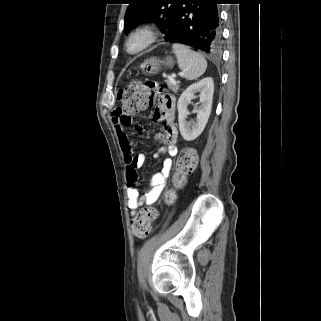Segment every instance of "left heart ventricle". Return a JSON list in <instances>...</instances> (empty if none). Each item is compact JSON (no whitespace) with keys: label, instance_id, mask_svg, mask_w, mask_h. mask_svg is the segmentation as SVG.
I'll list each match as a JSON object with an SVG mask.
<instances>
[{"label":"left heart ventricle","instance_id":"b2bd125f","mask_svg":"<svg viewBox=\"0 0 321 321\" xmlns=\"http://www.w3.org/2000/svg\"><path fill=\"white\" fill-rule=\"evenodd\" d=\"M141 43H142V39H141V38H136V39H134V40L132 41V43H131V48H132V49H135V48H137L138 46H140Z\"/></svg>","mask_w":321,"mask_h":321}]
</instances>
